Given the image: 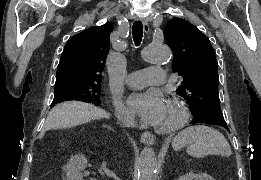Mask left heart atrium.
<instances>
[{"label":"left heart atrium","instance_id":"1","mask_svg":"<svg viewBox=\"0 0 261 180\" xmlns=\"http://www.w3.org/2000/svg\"><path fill=\"white\" fill-rule=\"evenodd\" d=\"M164 103L165 98L159 90L136 91L128 95L126 109L144 121L153 123Z\"/></svg>","mask_w":261,"mask_h":180}]
</instances>
